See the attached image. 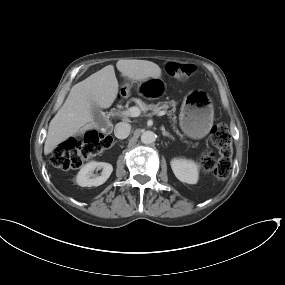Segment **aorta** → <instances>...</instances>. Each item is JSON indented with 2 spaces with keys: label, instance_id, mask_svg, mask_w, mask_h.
<instances>
[{
  "label": "aorta",
  "instance_id": "762f6f07",
  "mask_svg": "<svg viewBox=\"0 0 285 285\" xmlns=\"http://www.w3.org/2000/svg\"><path fill=\"white\" fill-rule=\"evenodd\" d=\"M156 134L153 131H144L141 134V142L144 144H151L155 141Z\"/></svg>",
  "mask_w": 285,
  "mask_h": 285
}]
</instances>
